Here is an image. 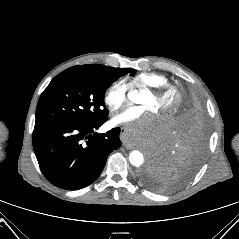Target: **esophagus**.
Listing matches in <instances>:
<instances>
[{
  "label": "esophagus",
  "mask_w": 239,
  "mask_h": 239,
  "mask_svg": "<svg viewBox=\"0 0 239 239\" xmlns=\"http://www.w3.org/2000/svg\"><path fill=\"white\" fill-rule=\"evenodd\" d=\"M125 132H126V128H124V127H122L121 128V138H122V140H123V144L125 145V147L126 148H128V149H132L133 147L131 146V145H129L128 143H127V141L124 139L125 137Z\"/></svg>",
  "instance_id": "34e87169"
}]
</instances>
